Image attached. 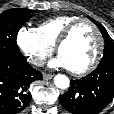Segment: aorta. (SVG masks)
<instances>
[{
    "label": "aorta",
    "mask_w": 114,
    "mask_h": 114,
    "mask_svg": "<svg viewBox=\"0 0 114 114\" xmlns=\"http://www.w3.org/2000/svg\"><path fill=\"white\" fill-rule=\"evenodd\" d=\"M54 84L60 89H66L70 85L69 78L65 75L58 74L54 78Z\"/></svg>",
    "instance_id": "obj_1"
}]
</instances>
